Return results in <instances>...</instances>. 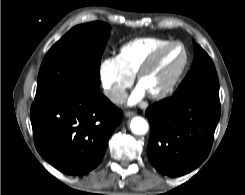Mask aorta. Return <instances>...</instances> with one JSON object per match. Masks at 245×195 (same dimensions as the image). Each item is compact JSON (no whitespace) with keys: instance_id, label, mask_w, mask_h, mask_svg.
<instances>
[{"instance_id":"1","label":"aorta","mask_w":245,"mask_h":195,"mask_svg":"<svg viewBox=\"0 0 245 195\" xmlns=\"http://www.w3.org/2000/svg\"><path fill=\"white\" fill-rule=\"evenodd\" d=\"M131 131L137 135L146 134L149 128L147 121L142 117H134L130 123Z\"/></svg>"}]
</instances>
